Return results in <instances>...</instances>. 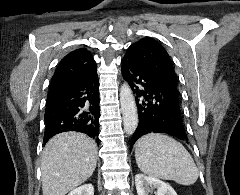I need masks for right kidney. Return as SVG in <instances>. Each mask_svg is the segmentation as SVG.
Wrapping results in <instances>:
<instances>
[{
	"label": "right kidney",
	"mask_w": 240,
	"mask_h": 195,
	"mask_svg": "<svg viewBox=\"0 0 240 195\" xmlns=\"http://www.w3.org/2000/svg\"><path fill=\"white\" fill-rule=\"evenodd\" d=\"M68 195H94V187L92 183H84V185L72 189Z\"/></svg>",
	"instance_id": "ca27d5eb"
}]
</instances>
